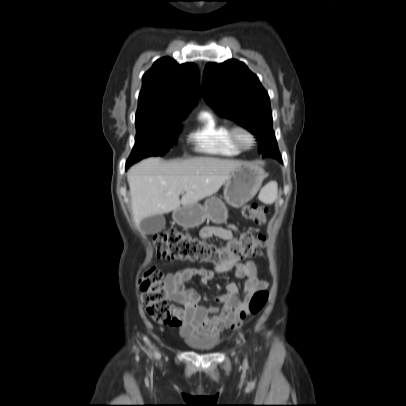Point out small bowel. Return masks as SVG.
<instances>
[{
    "mask_svg": "<svg viewBox=\"0 0 406 406\" xmlns=\"http://www.w3.org/2000/svg\"><path fill=\"white\" fill-rule=\"evenodd\" d=\"M236 226L204 227L203 238L218 237L229 241L234 237ZM234 270L231 280L226 285V292L206 297L195 289L188 287L194 278H200L201 285H207L215 273ZM246 278L243 296H240L237 281ZM167 297L177 304L172 310L170 325L180 328L183 336L213 338L221 331L234 329L240 324V313L247 308L250 296L268 288L267 281L260 278L254 261L234 262L214 269L188 267L168 273L164 280Z\"/></svg>",
    "mask_w": 406,
    "mask_h": 406,
    "instance_id": "1",
    "label": "small bowel"
}]
</instances>
